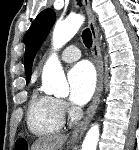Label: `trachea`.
Segmentation results:
<instances>
[{"instance_id":"3493384b","label":"trachea","mask_w":139,"mask_h":150,"mask_svg":"<svg viewBox=\"0 0 139 150\" xmlns=\"http://www.w3.org/2000/svg\"><path fill=\"white\" fill-rule=\"evenodd\" d=\"M78 5H81V2L78 1ZM82 39L86 47L92 46V34L90 29H85L82 34Z\"/></svg>"}]
</instances>
